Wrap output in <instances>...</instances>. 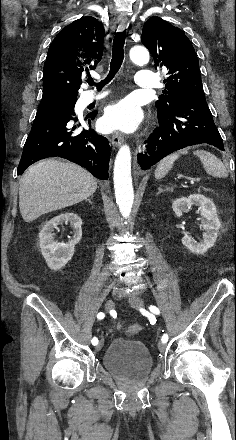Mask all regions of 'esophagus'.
Here are the masks:
<instances>
[{
    "label": "esophagus",
    "mask_w": 236,
    "mask_h": 440,
    "mask_svg": "<svg viewBox=\"0 0 236 440\" xmlns=\"http://www.w3.org/2000/svg\"><path fill=\"white\" fill-rule=\"evenodd\" d=\"M118 19H119L118 30L123 31L128 27L129 20L125 15H120ZM123 141L124 138L119 132L114 133L111 137V143L113 144V146L118 147L123 143Z\"/></svg>",
    "instance_id": "1"
}]
</instances>
